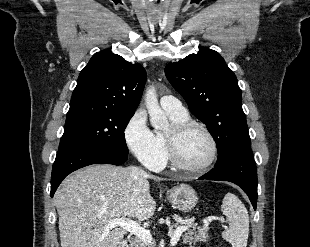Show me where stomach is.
Instances as JSON below:
<instances>
[{
  "mask_svg": "<svg viewBox=\"0 0 310 247\" xmlns=\"http://www.w3.org/2000/svg\"><path fill=\"white\" fill-rule=\"evenodd\" d=\"M167 198L174 209L182 212L191 211L198 201L195 190L187 184H181L168 190Z\"/></svg>",
  "mask_w": 310,
  "mask_h": 247,
  "instance_id": "1",
  "label": "stomach"
}]
</instances>
